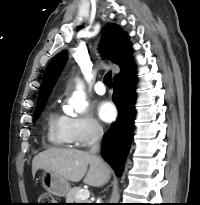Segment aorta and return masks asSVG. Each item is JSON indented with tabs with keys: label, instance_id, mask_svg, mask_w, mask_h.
Segmentation results:
<instances>
[{
	"label": "aorta",
	"instance_id": "1",
	"mask_svg": "<svg viewBox=\"0 0 200 205\" xmlns=\"http://www.w3.org/2000/svg\"><path fill=\"white\" fill-rule=\"evenodd\" d=\"M86 107V102L84 100V94L82 91H79L75 97V109L78 113L84 111Z\"/></svg>",
	"mask_w": 200,
	"mask_h": 205
}]
</instances>
